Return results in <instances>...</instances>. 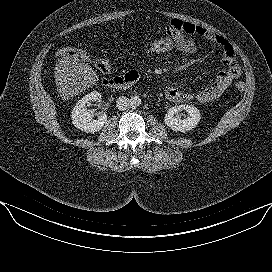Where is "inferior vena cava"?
Masks as SVG:
<instances>
[{
    "mask_svg": "<svg viewBox=\"0 0 272 272\" xmlns=\"http://www.w3.org/2000/svg\"><path fill=\"white\" fill-rule=\"evenodd\" d=\"M130 106V100L125 96H120L116 100V107L118 110L124 111L127 110Z\"/></svg>",
    "mask_w": 272,
    "mask_h": 272,
    "instance_id": "obj_1",
    "label": "inferior vena cava"
}]
</instances>
